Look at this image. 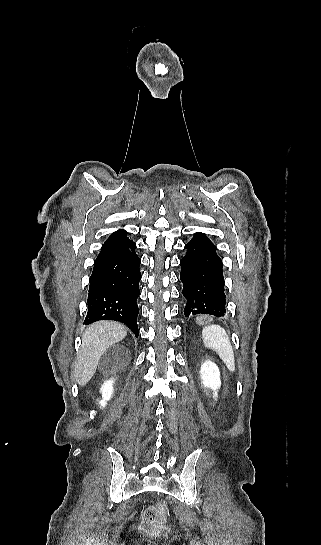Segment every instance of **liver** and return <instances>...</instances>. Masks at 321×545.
<instances>
[{
	"label": "liver",
	"mask_w": 321,
	"mask_h": 545,
	"mask_svg": "<svg viewBox=\"0 0 321 545\" xmlns=\"http://www.w3.org/2000/svg\"><path fill=\"white\" fill-rule=\"evenodd\" d=\"M126 335V327L114 321H98L86 329L74 365V379L80 387L92 379L103 353L115 343L123 341Z\"/></svg>",
	"instance_id": "obj_1"
}]
</instances>
